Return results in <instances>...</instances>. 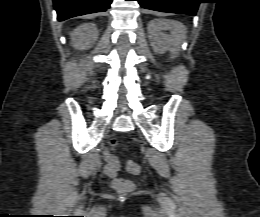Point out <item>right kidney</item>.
<instances>
[{
    "instance_id": "1",
    "label": "right kidney",
    "mask_w": 260,
    "mask_h": 217,
    "mask_svg": "<svg viewBox=\"0 0 260 217\" xmlns=\"http://www.w3.org/2000/svg\"><path fill=\"white\" fill-rule=\"evenodd\" d=\"M98 38V31L94 24H83L71 33V45L76 49H89Z\"/></svg>"
}]
</instances>
